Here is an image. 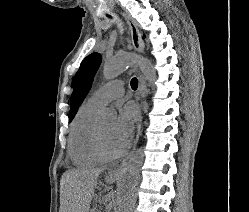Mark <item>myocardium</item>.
Segmentation results:
<instances>
[{"mask_svg": "<svg viewBox=\"0 0 249 212\" xmlns=\"http://www.w3.org/2000/svg\"><path fill=\"white\" fill-rule=\"evenodd\" d=\"M93 140L96 152L103 161H114L121 156L119 152L111 153L104 147L101 139L99 123L95 124L93 132Z\"/></svg>", "mask_w": 249, "mask_h": 212, "instance_id": "1", "label": "myocardium"}]
</instances>
